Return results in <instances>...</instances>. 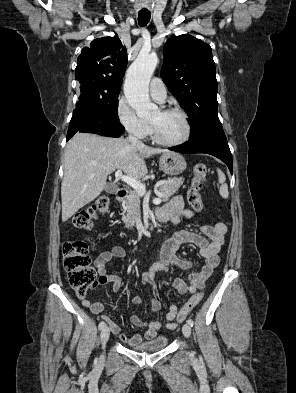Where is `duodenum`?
Returning a JSON list of instances; mask_svg holds the SVG:
<instances>
[{
  "instance_id": "1",
  "label": "duodenum",
  "mask_w": 296,
  "mask_h": 393,
  "mask_svg": "<svg viewBox=\"0 0 296 393\" xmlns=\"http://www.w3.org/2000/svg\"><path fill=\"white\" fill-rule=\"evenodd\" d=\"M127 195H128V192L124 188L118 189V191L116 193L117 199L120 200V201L124 200L127 197ZM155 217L158 220H160V221H166L167 220V217L164 216L162 210H156L155 211Z\"/></svg>"
}]
</instances>
